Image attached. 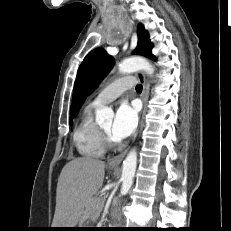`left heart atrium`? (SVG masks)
I'll return each instance as SVG.
<instances>
[{"label":"left heart atrium","mask_w":231,"mask_h":231,"mask_svg":"<svg viewBox=\"0 0 231 231\" xmlns=\"http://www.w3.org/2000/svg\"><path fill=\"white\" fill-rule=\"evenodd\" d=\"M138 122L136 110L128 103H121L118 107L111 128V136L115 141L129 137L135 130Z\"/></svg>","instance_id":"39dd6f15"}]
</instances>
